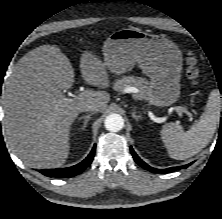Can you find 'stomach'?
Returning a JSON list of instances; mask_svg holds the SVG:
<instances>
[{
  "mask_svg": "<svg viewBox=\"0 0 222 219\" xmlns=\"http://www.w3.org/2000/svg\"><path fill=\"white\" fill-rule=\"evenodd\" d=\"M104 63L115 74L136 64L151 82L145 95L150 104L169 106L180 96L182 53L167 38L125 28L110 34L103 45Z\"/></svg>",
  "mask_w": 222,
  "mask_h": 219,
  "instance_id": "obj_1",
  "label": "stomach"
}]
</instances>
